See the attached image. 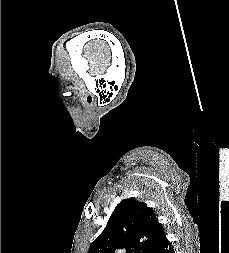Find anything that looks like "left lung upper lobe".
<instances>
[{
	"mask_svg": "<svg viewBox=\"0 0 229 253\" xmlns=\"http://www.w3.org/2000/svg\"><path fill=\"white\" fill-rule=\"evenodd\" d=\"M166 237L154 211L143 202L122 200L88 253H154Z\"/></svg>",
	"mask_w": 229,
	"mask_h": 253,
	"instance_id": "1",
	"label": "left lung upper lobe"
}]
</instances>
